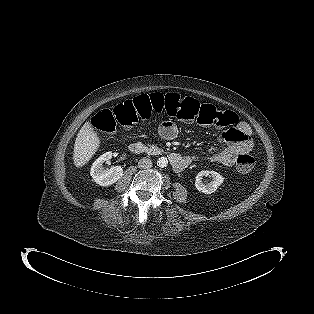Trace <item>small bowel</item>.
I'll return each mask as SVG.
<instances>
[{
    "instance_id": "c3829d8e",
    "label": "small bowel",
    "mask_w": 314,
    "mask_h": 314,
    "mask_svg": "<svg viewBox=\"0 0 314 314\" xmlns=\"http://www.w3.org/2000/svg\"><path fill=\"white\" fill-rule=\"evenodd\" d=\"M228 112L232 115L234 121L232 124H235L237 122L236 114L232 111ZM158 133L162 139L170 140L177 137L179 128L175 122L166 120L159 126ZM218 142L222 145L219 151L201 157L225 166H232L240 154L252 150L251 128L247 123L239 122L236 127L223 132L219 136Z\"/></svg>"
}]
</instances>
